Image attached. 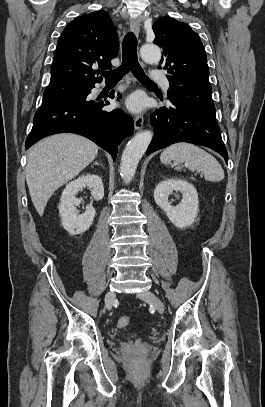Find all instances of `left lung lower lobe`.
<instances>
[{"label": "left lung lower lobe", "instance_id": "obj_1", "mask_svg": "<svg viewBox=\"0 0 265 407\" xmlns=\"http://www.w3.org/2000/svg\"><path fill=\"white\" fill-rule=\"evenodd\" d=\"M150 123L155 127V134L147 155L173 143L189 142L215 150L228 163V153L215 119L188 106L171 102L170 106L156 110L150 116Z\"/></svg>", "mask_w": 265, "mask_h": 407}]
</instances>
